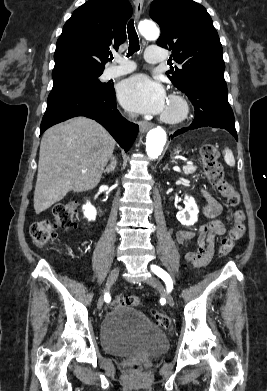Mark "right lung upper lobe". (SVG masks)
<instances>
[{
  "label": "right lung upper lobe",
  "mask_w": 267,
  "mask_h": 391,
  "mask_svg": "<svg viewBox=\"0 0 267 391\" xmlns=\"http://www.w3.org/2000/svg\"><path fill=\"white\" fill-rule=\"evenodd\" d=\"M131 14L127 0H90L76 9L57 40L52 77L103 71L110 48L126 40Z\"/></svg>",
  "instance_id": "1"
}]
</instances>
